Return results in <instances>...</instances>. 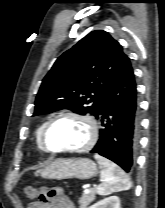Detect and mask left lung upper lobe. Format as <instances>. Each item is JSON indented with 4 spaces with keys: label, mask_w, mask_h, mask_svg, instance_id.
<instances>
[{
    "label": "left lung upper lobe",
    "mask_w": 165,
    "mask_h": 208,
    "mask_svg": "<svg viewBox=\"0 0 165 208\" xmlns=\"http://www.w3.org/2000/svg\"><path fill=\"white\" fill-rule=\"evenodd\" d=\"M127 59L107 32L92 31L56 60L42 81L33 116L60 109L96 116L105 90Z\"/></svg>",
    "instance_id": "left-lung-upper-lobe-1"
}]
</instances>
